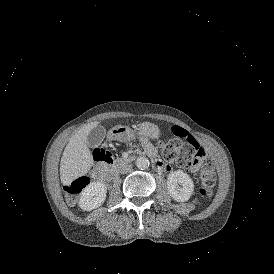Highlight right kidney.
Masks as SVG:
<instances>
[{
	"instance_id": "1",
	"label": "right kidney",
	"mask_w": 274,
	"mask_h": 274,
	"mask_svg": "<svg viewBox=\"0 0 274 274\" xmlns=\"http://www.w3.org/2000/svg\"><path fill=\"white\" fill-rule=\"evenodd\" d=\"M79 206L85 211L93 210L102 205L106 197V186L100 182L89 183L81 193Z\"/></svg>"
}]
</instances>
